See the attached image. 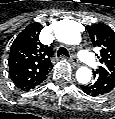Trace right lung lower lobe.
I'll list each match as a JSON object with an SVG mask.
<instances>
[{
    "instance_id": "1",
    "label": "right lung lower lobe",
    "mask_w": 115,
    "mask_h": 119,
    "mask_svg": "<svg viewBox=\"0 0 115 119\" xmlns=\"http://www.w3.org/2000/svg\"><path fill=\"white\" fill-rule=\"evenodd\" d=\"M39 85V84H38ZM37 85H35V86H33V87H31V88H29V89H25V90H30V89H33V88H35Z\"/></svg>"
}]
</instances>
